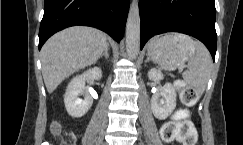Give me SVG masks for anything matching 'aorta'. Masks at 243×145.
I'll use <instances>...</instances> for the list:
<instances>
[{
	"instance_id": "aorta-1",
	"label": "aorta",
	"mask_w": 243,
	"mask_h": 145,
	"mask_svg": "<svg viewBox=\"0 0 243 145\" xmlns=\"http://www.w3.org/2000/svg\"><path fill=\"white\" fill-rule=\"evenodd\" d=\"M140 49V15L137 1H133L126 24V51L129 58H135Z\"/></svg>"
}]
</instances>
